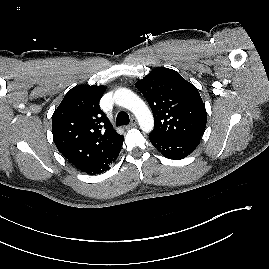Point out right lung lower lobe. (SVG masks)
<instances>
[{"label":"right lung lower lobe","instance_id":"obj_1","mask_svg":"<svg viewBox=\"0 0 269 269\" xmlns=\"http://www.w3.org/2000/svg\"><path fill=\"white\" fill-rule=\"evenodd\" d=\"M124 137L118 142V144L108 152H106L102 157L93 161L88 166L81 169L82 172H85L90 175L99 174L105 172L109 169L110 164L118 157L121 147L123 144Z\"/></svg>","mask_w":269,"mask_h":269}]
</instances>
